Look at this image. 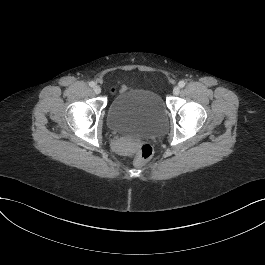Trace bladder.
<instances>
[{"instance_id":"1","label":"bladder","mask_w":265,"mask_h":265,"mask_svg":"<svg viewBox=\"0 0 265 265\" xmlns=\"http://www.w3.org/2000/svg\"><path fill=\"white\" fill-rule=\"evenodd\" d=\"M111 131L138 136L163 130L167 110L160 95L154 91L132 90L117 95L106 113Z\"/></svg>"}]
</instances>
